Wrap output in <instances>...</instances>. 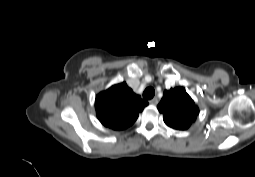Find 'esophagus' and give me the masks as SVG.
Returning a JSON list of instances; mask_svg holds the SVG:
<instances>
[{
	"label": "esophagus",
	"mask_w": 255,
	"mask_h": 177,
	"mask_svg": "<svg viewBox=\"0 0 255 177\" xmlns=\"http://www.w3.org/2000/svg\"><path fill=\"white\" fill-rule=\"evenodd\" d=\"M150 104L152 105H156L158 103V99L157 98H153L149 101Z\"/></svg>",
	"instance_id": "34e87169"
}]
</instances>
